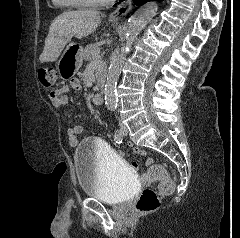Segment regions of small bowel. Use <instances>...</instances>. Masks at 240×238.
<instances>
[{"instance_id": "1", "label": "small bowel", "mask_w": 240, "mask_h": 238, "mask_svg": "<svg viewBox=\"0 0 240 238\" xmlns=\"http://www.w3.org/2000/svg\"><path fill=\"white\" fill-rule=\"evenodd\" d=\"M70 87L79 90L80 89V83L78 80L74 79L70 82L69 85H62L57 90L52 91L49 94V99L52 103V105L56 108H64L69 103V98L66 95V93L70 90ZM83 128L81 125H75L73 127L68 128L67 130V138L70 146L75 147L79 143L78 136L82 133ZM131 148H134L133 151L137 156H145V151L138 148V143H131ZM118 154H125V149H118ZM153 160L148 158L146 160V165L152 164ZM139 160L134 159L133 164L131 165L132 169H138L139 168ZM145 187H154V182H145Z\"/></svg>"}]
</instances>
